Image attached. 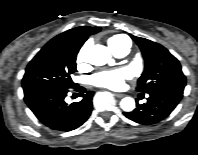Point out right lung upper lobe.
I'll return each instance as SVG.
<instances>
[{"label":"right lung upper lobe","mask_w":198,"mask_h":155,"mask_svg":"<svg viewBox=\"0 0 198 155\" xmlns=\"http://www.w3.org/2000/svg\"><path fill=\"white\" fill-rule=\"evenodd\" d=\"M100 31L99 27L81 26L65 31L54 37L48 44H61L67 42H77L83 44L88 36Z\"/></svg>","instance_id":"right-lung-upper-lobe-1"}]
</instances>
